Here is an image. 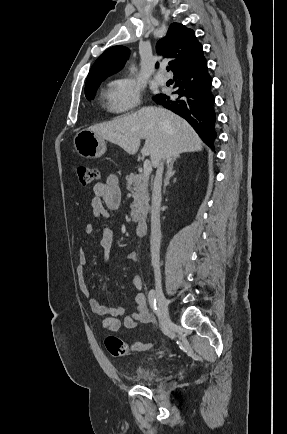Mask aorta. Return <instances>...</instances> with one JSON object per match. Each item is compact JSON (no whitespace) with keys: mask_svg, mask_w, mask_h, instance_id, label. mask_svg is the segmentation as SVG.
<instances>
[{"mask_svg":"<svg viewBox=\"0 0 287 434\" xmlns=\"http://www.w3.org/2000/svg\"><path fill=\"white\" fill-rule=\"evenodd\" d=\"M130 70H131V72L133 73V72L135 71V67L132 66V67L130 68Z\"/></svg>","mask_w":287,"mask_h":434,"instance_id":"762f6f07","label":"aorta"}]
</instances>
